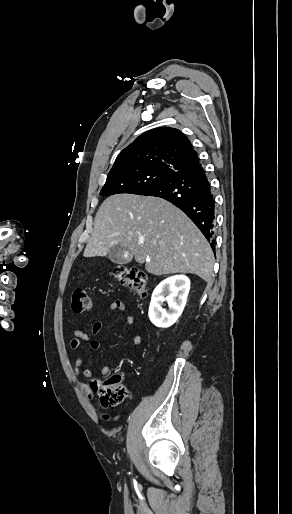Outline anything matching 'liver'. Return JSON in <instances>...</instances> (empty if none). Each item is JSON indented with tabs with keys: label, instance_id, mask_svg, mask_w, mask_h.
Masks as SVG:
<instances>
[{
	"label": "liver",
	"instance_id": "obj_1",
	"mask_svg": "<svg viewBox=\"0 0 292 514\" xmlns=\"http://www.w3.org/2000/svg\"><path fill=\"white\" fill-rule=\"evenodd\" d=\"M115 244L129 250L138 264L146 262L154 276L212 278L214 254L206 238L184 212L162 198L115 194L104 200L83 256H107Z\"/></svg>",
	"mask_w": 292,
	"mask_h": 514
}]
</instances>
